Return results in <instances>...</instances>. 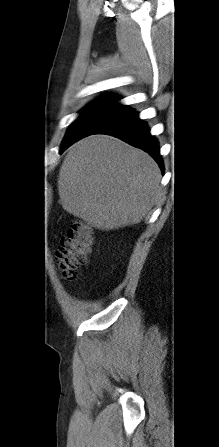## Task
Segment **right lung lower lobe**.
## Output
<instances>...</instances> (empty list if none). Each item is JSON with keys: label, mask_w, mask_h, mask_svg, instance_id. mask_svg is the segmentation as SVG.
<instances>
[{"label": "right lung lower lobe", "mask_w": 219, "mask_h": 447, "mask_svg": "<svg viewBox=\"0 0 219 447\" xmlns=\"http://www.w3.org/2000/svg\"><path fill=\"white\" fill-rule=\"evenodd\" d=\"M94 134H109L146 151L158 163L163 171V161L159 152V145L155 137L150 134L147 124L139 118L137 112L120 117L103 126Z\"/></svg>", "instance_id": "1"}]
</instances>
